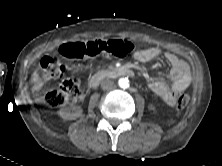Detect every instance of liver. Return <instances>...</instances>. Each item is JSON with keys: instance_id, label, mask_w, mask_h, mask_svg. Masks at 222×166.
I'll list each match as a JSON object with an SVG mask.
<instances>
[{"instance_id": "liver-1", "label": "liver", "mask_w": 222, "mask_h": 166, "mask_svg": "<svg viewBox=\"0 0 222 166\" xmlns=\"http://www.w3.org/2000/svg\"><path fill=\"white\" fill-rule=\"evenodd\" d=\"M32 81L34 84L33 89L35 91H40L44 85V82L41 80V78L36 70L33 72Z\"/></svg>"}]
</instances>
